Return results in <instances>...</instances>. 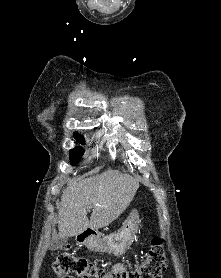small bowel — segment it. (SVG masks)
Here are the masks:
<instances>
[{
  "instance_id": "small-bowel-1",
  "label": "small bowel",
  "mask_w": 221,
  "mask_h": 278,
  "mask_svg": "<svg viewBox=\"0 0 221 278\" xmlns=\"http://www.w3.org/2000/svg\"><path fill=\"white\" fill-rule=\"evenodd\" d=\"M126 266L123 263H118L116 265L113 266V268L111 269V272L113 274H119L122 271L126 270Z\"/></svg>"
}]
</instances>
